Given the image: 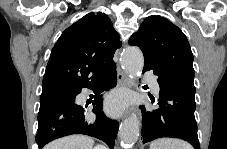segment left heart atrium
Wrapping results in <instances>:
<instances>
[{"mask_svg": "<svg viewBox=\"0 0 227 149\" xmlns=\"http://www.w3.org/2000/svg\"><path fill=\"white\" fill-rule=\"evenodd\" d=\"M123 100L120 96H112L109 100H108V109L110 112L112 113H117L120 111V109L123 106Z\"/></svg>", "mask_w": 227, "mask_h": 149, "instance_id": "39dd6f15", "label": "left heart atrium"}]
</instances>
